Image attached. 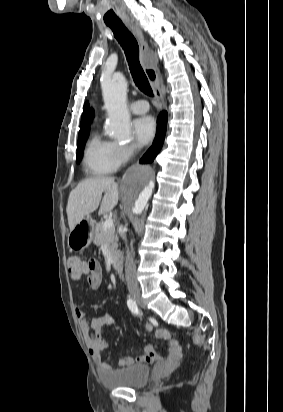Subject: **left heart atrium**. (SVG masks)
I'll return each instance as SVG.
<instances>
[{
    "label": "left heart atrium",
    "mask_w": 283,
    "mask_h": 412,
    "mask_svg": "<svg viewBox=\"0 0 283 412\" xmlns=\"http://www.w3.org/2000/svg\"><path fill=\"white\" fill-rule=\"evenodd\" d=\"M135 135L142 145L148 144L156 133L155 120L150 116L138 119L134 124Z\"/></svg>",
    "instance_id": "39dd6f15"
}]
</instances>
